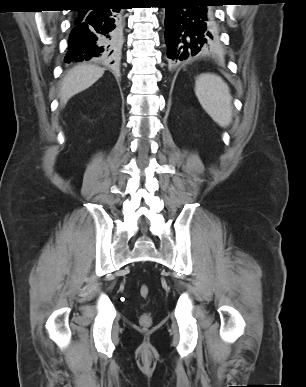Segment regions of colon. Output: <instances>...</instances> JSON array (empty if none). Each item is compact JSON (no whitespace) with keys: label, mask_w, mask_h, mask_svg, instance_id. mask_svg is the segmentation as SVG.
Masks as SVG:
<instances>
[{"label":"colon","mask_w":306,"mask_h":387,"mask_svg":"<svg viewBox=\"0 0 306 387\" xmlns=\"http://www.w3.org/2000/svg\"><path fill=\"white\" fill-rule=\"evenodd\" d=\"M139 294L142 298H147L150 294V288L146 284L139 287ZM153 319L150 313H144L139 318V324L144 328H149L152 325Z\"/></svg>","instance_id":"obj_1"}]
</instances>
